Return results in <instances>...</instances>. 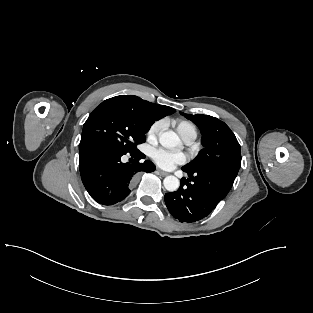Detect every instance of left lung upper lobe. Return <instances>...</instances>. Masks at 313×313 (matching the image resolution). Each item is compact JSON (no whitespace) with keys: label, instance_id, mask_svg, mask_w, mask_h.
Instances as JSON below:
<instances>
[{"label":"left lung upper lobe","instance_id":"left-lung-upper-lobe-1","mask_svg":"<svg viewBox=\"0 0 313 313\" xmlns=\"http://www.w3.org/2000/svg\"><path fill=\"white\" fill-rule=\"evenodd\" d=\"M181 114L199 127L204 146L198 156L183 168L189 172L221 170L237 175L241 167L240 145L230 128L209 115Z\"/></svg>","mask_w":313,"mask_h":313}]
</instances>
